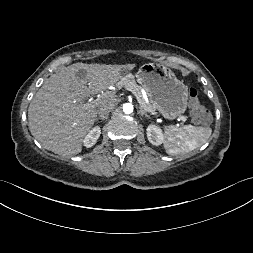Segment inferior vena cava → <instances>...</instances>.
<instances>
[{
    "label": "inferior vena cava",
    "mask_w": 253,
    "mask_h": 253,
    "mask_svg": "<svg viewBox=\"0 0 253 253\" xmlns=\"http://www.w3.org/2000/svg\"><path fill=\"white\" fill-rule=\"evenodd\" d=\"M116 101L111 100L103 105H101L98 109V113L100 116H108V114L112 111V109L115 107Z\"/></svg>",
    "instance_id": "1"
}]
</instances>
